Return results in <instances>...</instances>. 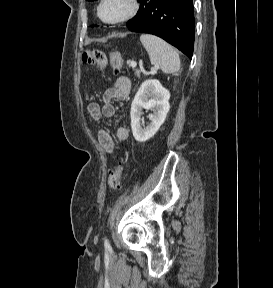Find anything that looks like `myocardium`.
Segmentation results:
<instances>
[{
    "label": "myocardium",
    "mask_w": 273,
    "mask_h": 288,
    "mask_svg": "<svg viewBox=\"0 0 273 288\" xmlns=\"http://www.w3.org/2000/svg\"><path fill=\"white\" fill-rule=\"evenodd\" d=\"M106 2H107V0H100L98 5H97L96 12H97L98 18L103 23L109 24V25H114V24H119L122 22L129 21V20L133 19L139 13V10H140L139 0H126V2L128 4V9L124 14H122L121 16H119L115 19H105L101 15V9Z\"/></svg>",
    "instance_id": "1"
}]
</instances>
